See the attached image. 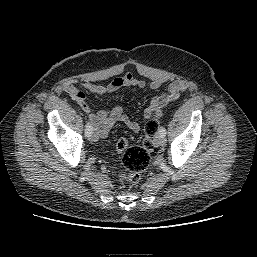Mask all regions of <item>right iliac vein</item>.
Listing matches in <instances>:
<instances>
[{
	"instance_id": "63e3f726",
	"label": "right iliac vein",
	"mask_w": 257,
	"mask_h": 257,
	"mask_svg": "<svg viewBox=\"0 0 257 257\" xmlns=\"http://www.w3.org/2000/svg\"><path fill=\"white\" fill-rule=\"evenodd\" d=\"M89 139L91 141H96L98 139V137L95 134L92 133L91 136H89Z\"/></svg>"
}]
</instances>
